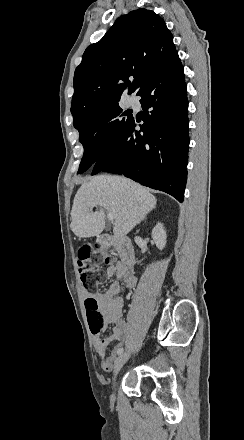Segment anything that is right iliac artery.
<instances>
[{
	"instance_id": "1",
	"label": "right iliac artery",
	"mask_w": 244,
	"mask_h": 440,
	"mask_svg": "<svg viewBox=\"0 0 244 440\" xmlns=\"http://www.w3.org/2000/svg\"><path fill=\"white\" fill-rule=\"evenodd\" d=\"M123 351H124L123 348H119V349L117 350V354H118V355H121V354L123 353Z\"/></svg>"
}]
</instances>
